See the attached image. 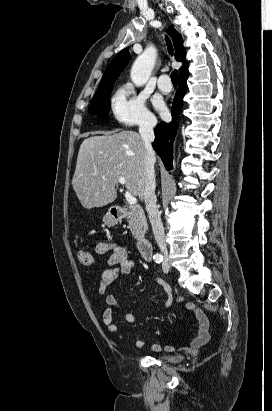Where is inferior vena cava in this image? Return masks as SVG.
<instances>
[{"label": "inferior vena cava", "mask_w": 272, "mask_h": 411, "mask_svg": "<svg viewBox=\"0 0 272 411\" xmlns=\"http://www.w3.org/2000/svg\"><path fill=\"white\" fill-rule=\"evenodd\" d=\"M157 124L155 117H147L139 125V133L145 145V186L143 197L146 204V210L152 226L153 234L160 251L163 253L164 259L168 257V251L164 239V228L161 222L160 213L156 206L157 198L155 195V153L152 148L154 141V127Z\"/></svg>", "instance_id": "602c4592"}]
</instances>
